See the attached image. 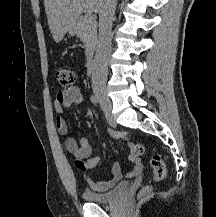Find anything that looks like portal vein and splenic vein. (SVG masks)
I'll return each instance as SVG.
<instances>
[{"mask_svg":"<svg viewBox=\"0 0 216 217\" xmlns=\"http://www.w3.org/2000/svg\"><path fill=\"white\" fill-rule=\"evenodd\" d=\"M85 18H86L88 21L94 20V16H93L92 12L86 13Z\"/></svg>","mask_w":216,"mask_h":217,"instance_id":"portal-vein-and-splenic-vein-1","label":"portal vein and splenic vein"}]
</instances>
